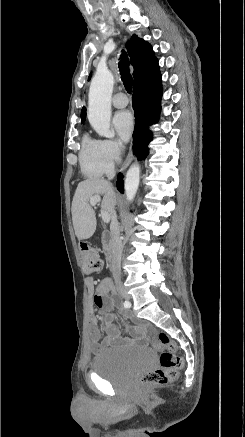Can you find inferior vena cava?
<instances>
[{"mask_svg": "<svg viewBox=\"0 0 245 437\" xmlns=\"http://www.w3.org/2000/svg\"><path fill=\"white\" fill-rule=\"evenodd\" d=\"M122 148V144L120 145ZM110 250H111V267L110 270L112 272L115 284H120L121 282V257L123 251L122 240L120 237V226L117 221V215L114 211L112 218V238L110 241Z\"/></svg>", "mask_w": 245, "mask_h": 437, "instance_id": "inferior-vena-cava-1", "label": "inferior vena cava"}]
</instances>
